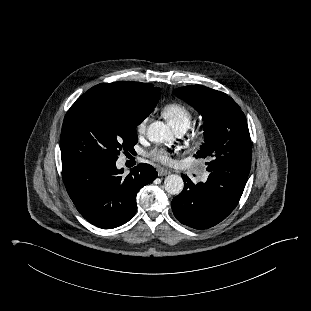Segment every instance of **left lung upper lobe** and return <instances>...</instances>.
Returning a JSON list of instances; mask_svg holds the SVG:
<instances>
[{
    "instance_id": "left-lung-upper-lobe-1",
    "label": "left lung upper lobe",
    "mask_w": 311,
    "mask_h": 311,
    "mask_svg": "<svg viewBox=\"0 0 311 311\" xmlns=\"http://www.w3.org/2000/svg\"><path fill=\"white\" fill-rule=\"evenodd\" d=\"M173 93L197 109L205 120L204 143L195 156L209 160L207 170L248 176L251 139L239 105L227 94L201 85L177 88Z\"/></svg>"
}]
</instances>
